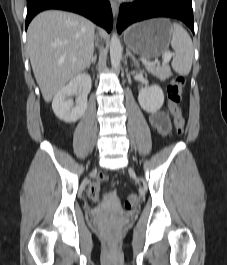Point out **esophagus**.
Instances as JSON below:
<instances>
[{
	"mask_svg": "<svg viewBox=\"0 0 227 265\" xmlns=\"http://www.w3.org/2000/svg\"><path fill=\"white\" fill-rule=\"evenodd\" d=\"M113 15L117 17L119 11V4L116 0H110Z\"/></svg>",
	"mask_w": 227,
	"mask_h": 265,
	"instance_id": "obj_1",
	"label": "esophagus"
}]
</instances>
